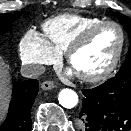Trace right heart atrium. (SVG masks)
Listing matches in <instances>:
<instances>
[{"instance_id": "1", "label": "right heart atrium", "mask_w": 131, "mask_h": 131, "mask_svg": "<svg viewBox=\"0 0 131 131\" xmlns=\"http://www.w3.org/2000/svg\"><path fill=\"white\" fill-rule=\"evenodd\" d=\"M19 56L24 64L39 68L55 63L60 53L48 43L42 34L29 30L19 42Z\"/></svg>"}]
</instances>
